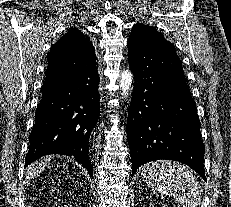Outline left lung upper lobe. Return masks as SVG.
Segmentation results:
<instances>
[{"mask_svg":"<svg viewBox=\"0 0 231 207\" xmlns=\"http://www.w3.org/2000/svg\"><path fill=\"white\" fill-rule=\"evenodd\" d=\"M128 45L156 47V48H174L172 43L164 39L163 35L153 27L137 23L133 26Z\"/></svg>","mask_w":231,"mask_h":207,"instance_id":"obj_1","label":"left lung upper lobe"}]
</instances>
